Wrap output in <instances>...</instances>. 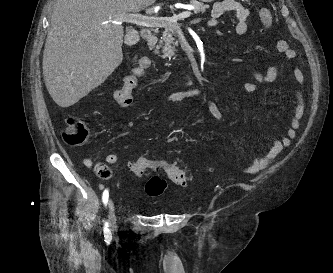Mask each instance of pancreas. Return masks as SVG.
<instances>
[{"mask_svg": "<svg viewBox=\"0 0 333 273\" xmlns=\"http://www.w3.org/2000/svg\"><path fill=\"white\" fill-rule=\"evenodd\" d=\"M190 4L194 6V13L197 14L199 12H205L208 8L207 5H204L197 0H190ZM179 30V25L176 23L174 25H169L165 27V31H163V35L161 40L159 41V45L156 46L155 54H159V49L162 48V58L171 59L176 52V46H178V41L174 38L176 36L177 31Z\"/></svg>", "mask_w": 333, "mask_h": 273, "instance_id": "cf45deb5", "label": "pancreas"}]
</instances>
